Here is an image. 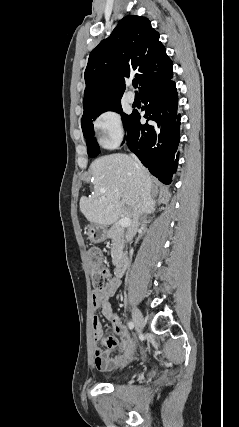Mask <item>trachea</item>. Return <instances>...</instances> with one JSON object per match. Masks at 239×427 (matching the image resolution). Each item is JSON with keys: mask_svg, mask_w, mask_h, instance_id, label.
<instances>
[{"mask_svg": "<svg viewBox=\"0 0 239 427\" xmlns=\"http://www.w3.org/2000/svg\"><path fill=\"white\" fill-rule=\"evenodd\" d=\"M132 83H133L134 88H137V86H138L137 80H134Z\"/></svg>", "mask_w": 239, "mask_h": 427, "instance_id": "3493384b", "label": "trachea"}]
</instances>
